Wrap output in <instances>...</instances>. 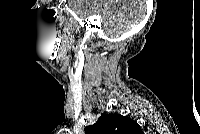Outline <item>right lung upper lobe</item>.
Here are the masks:
<instances>
[{
  "instance_id": "obj_1",
  "label": "right lung upper lobe",
  "mask_w": 200,
  "mask_h": 134,
  "mask_svg": "<svg viewBox=\"0 0 200 134\" xmlns=\"http://www.w3.org/2000/svg\"><path fill=\"white\" fill-rule=\"evenodd\" d=\"M86 134H140V126L127 116L103 114L92 125L85 128Z\"/></svg>"
}]
</instances>
